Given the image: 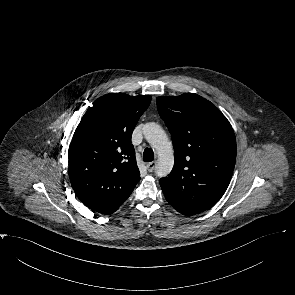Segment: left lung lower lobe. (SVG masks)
<instances>
[{
  "label": "left lung lower lobe",
  "instance_id": "obj_1",
  "mask_svg": "<svg viewBox=\"0 0 295 295\" xmlns=\"http://www.w3.org/2000/svg\"><path fill=\"white\" fill-rule=\"evenodd\" d=\"M166 200L174 207L175 204L172 200H170L167 196H165Z\"/></svg>",
  "mask_w": 295,
  "mask_h": 295
}]
</instances>
